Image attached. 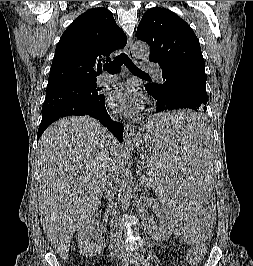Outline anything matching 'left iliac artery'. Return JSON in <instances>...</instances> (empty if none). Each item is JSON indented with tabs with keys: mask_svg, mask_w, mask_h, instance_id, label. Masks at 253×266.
I'll return each instance as SVG.
<instances>
[{
	"mask_svg": "<svg viewBox=\"0 0 253 266\" xmlns=\"http://www.w3.org/2000/svg\"><path fill=\"white\" fill-rule=\"evenodd\" d=\"M137 258L141 264H143L145 266H149V263L147 262V260L143 256L138 255Z\"/></svg>",
	"mask_w": 253,
	"mask_h": 266,
	"instance_id": "1",
	"label": "left iliac artery"
}]
</instances>
